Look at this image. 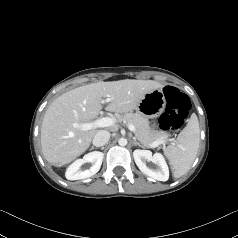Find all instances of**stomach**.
I'll use <instances>...</instances> for the list:
<instances>
[{
	"label": "stomach",
	"mask_w": 238,
	"mask_h": 238,
	"mask_svg": "<svg viewBox=\"0 0 238 238\" xmlns=\"http://www.w3.org/2000/svg\"><path fill=\"white\" fill-rule=\"evenodd\" d=\"M166 107V99L162 89H154L145 94L137 107V112L146 117H158Z\"/></svg>",
	"instance_id": "1"
}]
</instances>
